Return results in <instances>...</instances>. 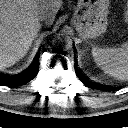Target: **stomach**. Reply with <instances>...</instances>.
<instances>
[{"label": "stomach", "mask_w": 128, "mask_h": 128, "mask_svg": "<svg viewBox=\"0 0 128 128\" xmlns=\"http://www.w3.org/2000/svg\"><path fill=\"white\" fill-rule=\"evenodd\" d=\"M109 3L110 0H78L72 22L80 37L92 39L106 31Z\"/></svg>", "instance_id": "stomach-1"}]
</instances>
